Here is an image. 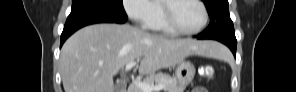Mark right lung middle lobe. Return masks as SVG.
<instances>
[{
	"instance_id": "obj_1",
	"label": "right lung middle lobe",
	"mask_w": 296,
	"mask_h": 92,
	"mask_svg": "<svg viewBox=\"0 0 296 92\" xmlns=\"http://www.w3.org/2000/svg\"><path fill=\"white\" fill-rule=\"evenodd\" d=\"M100 10L127 18L122 0H72V11Z\"/></svg>"
}]
</instances>
